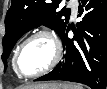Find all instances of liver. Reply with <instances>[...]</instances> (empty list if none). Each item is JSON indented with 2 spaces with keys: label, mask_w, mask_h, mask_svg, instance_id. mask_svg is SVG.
Listing matches in <instances>:
<instances>
[{
  "label": "liver",
  "mask_w": 107,
  "mask_h": 89,
  "mask_svg": "<svg viewBox=\"0 0 107 89\" xmlns=\"http://www.w3.org/2000/svg\"><path fill=\"white\" fill-rule=\"evenodd\" d=\"M45 85H55L56 87L60 86V84H35V85L28 86L27 89H30V88H44Z\"/></svg>",
  "instance_id": "liver-1"
}]
</instances>
